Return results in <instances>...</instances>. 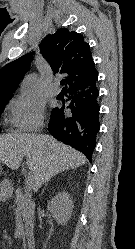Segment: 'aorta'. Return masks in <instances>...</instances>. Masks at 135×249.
<instances>
[{"label": "aorta", "mask_w": 135, "mask_h": 249, "mask_svg": "<svg viewBox=\"0 0 135 249\" xmlns=\"http://www.w3.org/2000/svg\"><path fill=\"white\" fill-rule=\"evenodd\" d=\"M36 94V79L29 77L23 83L21 90V97L25 100H30L35 97Z\"/></svg>", "instance_id": "obj_1"}]
</instances>
